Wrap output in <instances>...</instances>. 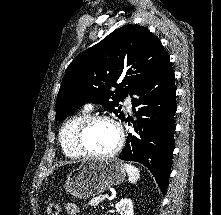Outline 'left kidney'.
Wrapping results in <instances>:
<instances>
[{"label": "left kidney", "mask_w": 221, "mask_h": 215, "mask_svg": "<svg viewBox=\"0 0 221 215\" xmlns=\"http://www.w3.org/2000/svg\"><path fill=\"white\" fill-rule=\"evenodd\" d=\"M115 208L121 213V215H134L132 201L128 198L122 199L118 202Z\"/></svg>", "instance_id": "5707ae66"}]
</instances>
